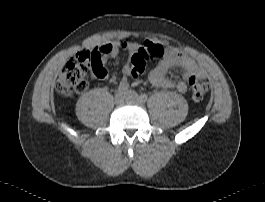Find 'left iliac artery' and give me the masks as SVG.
Returning a JSON list of instances; mask_svg holds the SVG:
<instances>
[{
    "label": "left iliac artery",
    "mask_w": 265,
    "mask_h": 202,
    "mask_svg": "<svg viewBox=\"0 0 265 202\" xmlns=\"http://www.w3.org/2000/svg\"><path fill=\"white\" fill-rule=\"evenodd\" d=\"M140 98H141V100H142L143 102H146L147 99H148V96H147L146 94H141V95H140Z\"/></svg>",
    "instance_id": "left-iliac-artery-1"
}]
</instances>
